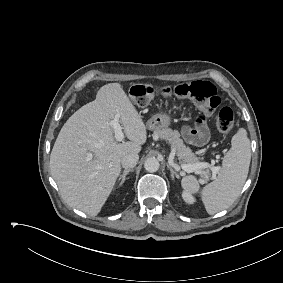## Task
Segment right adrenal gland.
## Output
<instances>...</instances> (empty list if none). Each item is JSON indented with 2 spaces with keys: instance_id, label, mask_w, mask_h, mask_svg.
<instances>
[{
  "instance_id": "obj_1",
  "label": "right adrenal gland",
  "mask_w": 283,
  "mask_h": 283,
  "mask_svg": "<svg viewBox=\"0 0 283 283\" xmlns=\"http://www.w3.org/2000/svg\"><path fill=\"white\" fill-rule=\"evenodd\" d=\"M134 169H127V170H124L123 174L120 175L119 179H118V182H119V186H121L125 180H126V175L129 173V172H133Z\"/></svg>"
}]
</instances>
